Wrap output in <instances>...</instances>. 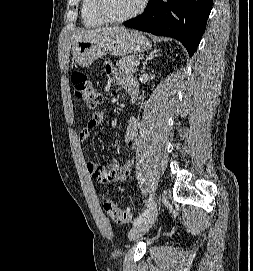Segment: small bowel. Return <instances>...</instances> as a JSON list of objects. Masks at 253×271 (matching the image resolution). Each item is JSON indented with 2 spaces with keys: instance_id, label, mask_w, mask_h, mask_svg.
I'll return each mask as SVG.
<instances>
[{
  "instance_id": "small-bowel-1",
  "label": "small bowel",
  "mask_w": 253,
  "mask_h": 271,
  "mask_svg": "<svg viewBox=\"0 0 253 271\" xmlns=\"http://www.w3.org/2000/svg\"><path fill=\"white\" fill-rule=\"evenodd\" d=\"M107 75V86L116 84L123 86L131 96L136 97L139 92V86L137 81L130 75H125L118 72L111 64L107 63L104 67ZM106 114L103 111L94 112L88 120L84 129L77 134V140L80 143H85L89 140L93 131L98 129L105 121ZM138 132V122L135 117H131L128 120L127 128L123 137L124 143L130 148H136ZM134 165L133 159H127L123 164L114 161L111 165L101 167L95 163L87 162V170L91 179L100 182L107 183L110 181L124 182L131 173Z\"/></svg>"
}]
</instances>
